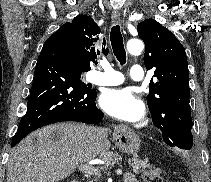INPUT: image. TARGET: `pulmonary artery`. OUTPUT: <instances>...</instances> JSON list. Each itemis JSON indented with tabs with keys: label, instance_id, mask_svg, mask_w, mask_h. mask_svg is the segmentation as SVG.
I'll use <instances>...</instances> for the list:
<instances>
[{
	"label": "pulmonary artery",
	"instance_id": "e3ab8cb5",
	"mask_svg": "<svg viewBox=\"0 0 211 182\" xmlns=\"http://www.w3.org/2000/svg\"><path fill=\"white\" fill-rule=\"evenodd\" d=\"M103 71H94L90 74L91 82L98 85H118L124 80L123 75L110 67L109 65L102 66ZM130 77L135 81H140L144 77V70L140 65H134L130 70Z\"/></svg>",
	"mask_w": 211,
	"mask_h": 182
}]
</instances>
